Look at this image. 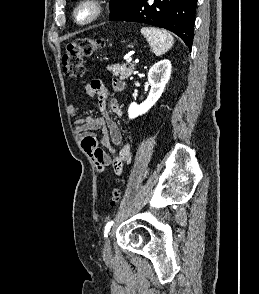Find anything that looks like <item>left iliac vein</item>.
<instances>
[{
	"instance_id": "obj_1",
	"label": "left iliac vein",
	"mask_w": 259,
	"mask_h": 294,
	"mask_svg": "<svg viewBox=\"0 0 259 294\" xmlns=\"http://www.w3.org/2000/svg\"><path fill=\"white\" fill-rule=\"evenodd\" d=\"M111 252V239H110V235L106 238L105 240V244H104V253L106 255H109Z\"/></svg>"
}]
</instances>
